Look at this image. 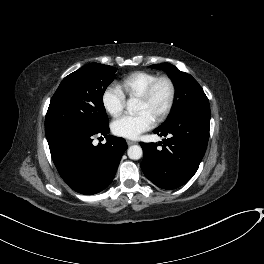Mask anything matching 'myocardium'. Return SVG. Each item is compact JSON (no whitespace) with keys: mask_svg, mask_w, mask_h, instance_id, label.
<instances>
[{"mask_svg":"<svg viewBox=\"0 0 264 264\" xmlns=\"http://www.w3.org/2000/svg\"><path fill=\"white\" fill-rule=\"evenodd\" d=\"M161 82H166L168 84V86H169V97H168V101H167L164 109L154 119V121L156 123H160V122L164 121L167 118V116L170 114V112L173 108V105L175 102V97H176V86H175L174 81L169 76H159L156 79H154L147 86V88L138 96L139 100L149 101L152 98L157 85Z\"/></svg>","mask_w":264,"mask_h":264,"instance_id":"1","label":"myocardium"}]
</instances>
